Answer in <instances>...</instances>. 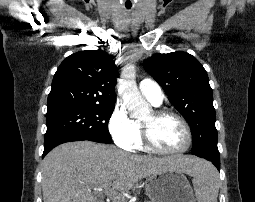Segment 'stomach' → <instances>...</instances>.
I'll return each instance as SVG.
<instances>
[{
	"label": "stomach",
	"mask_w": 255,
	"mask_h": 202,
	"mask_svg": "<svg viewBox=\"0 0 255 202\" xmlns=\"http://www.w3.org/2000/svg\"><path fill=\"white\" fill-rule=\"evenodd\" d=\"M152 186H145L151 202H195L185 175L177 170L152 174Z\"/></svg>",
	"instance_id": "0dacf381"
}]
</instances>
